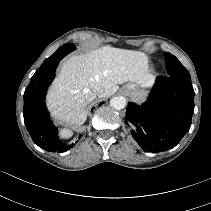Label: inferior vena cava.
<instances>
[{
    "instance_id": "inferior-vena-cava-1",
    "label": "inferior vena cava",
    "mask_w": 211,
    "mask_h": 211,
    "mask_svg": "<svg viewBox=\"0 0 211 211\" xmlns=\"http://www.w3.org/2000/svg\"><path fill=\"white\" fill-rule=\"evenodd\" d=\"M94 92H95L98 96H100V95L103 93V89H102V87H101L100 85H96V86L94 87Z\"/></svg>"
}]
</instances>
